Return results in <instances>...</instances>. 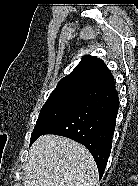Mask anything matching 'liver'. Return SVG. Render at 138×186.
Returning <instances> with one entry per match:
<instances>
[{
    "mask_svg": "<svg viewBox=\"0 0 138 186\" xmlns=\"http://www.w3.org/2000/svg\"><path fill=\"white\" fill-rule=\"evenodd\" d=\"M96 163L83 145L57 135L39 137L29 150L24 186H98Z\"/></svg>",
    "mask_w": 138,
    "mask_h": 186,
    "instance_id": "6515ba94",
    "label": "liver"
}]
</instances>
